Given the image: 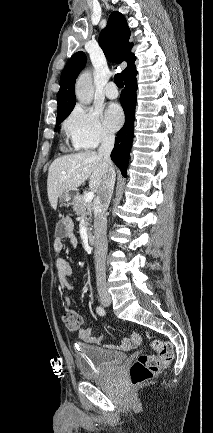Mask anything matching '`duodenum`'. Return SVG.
Wrapping results in <instances>:
<instances>
[{"mask_svg":"<svg viewBox=\"0 0 213 433\" xmlns=\"http://www.w3.org/2000/svg\"><path fill=\"white\" fill-rule=\"evenodd\" d=\"M88 241H89V243L91 245H95L96 244L97 240H96V237H95V235L93 233H90L88 235Z\"/></svg>","mask_w":213,"mask_h":433,"instance_id":"duodenum-1","label":"duodenum"}]
</instances>
